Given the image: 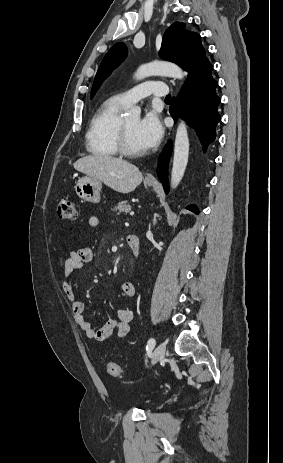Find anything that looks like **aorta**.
I'll list each match as a JSON object with an SVG mask.
<instances>
[{"label": "aorta", "instance_id": "1", "mask_svg": "<svg viewBox=\"0 0 283 463\" xmlns=\"http://www.w3.org/2000/svg\"><path fill=\"white\" fill-rule=\"evenodd\" d=\"M154 75L169 76L174 79H183L185 76L183 70L174 63L151 62L141 65L135 73V78L137 80H141ZM140 113V107L135 106L129 111V116H139ZM189 146L187 125L185 121L180 120L176 131L173 166L171 172V188L173 189L179 185L184 176L188 163Z\"/></svg>", "mask_w": 283, "mask_h": 463}]
</instances>
